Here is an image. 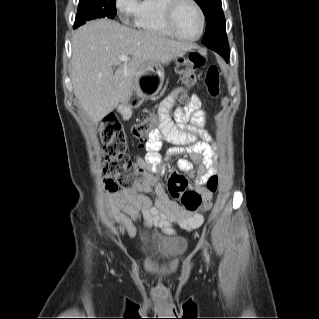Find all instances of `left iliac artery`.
Segmentation results:
<instances>
[{
  "instance_id": "44dca946",
  "label": "left iliac artery",
  "mask_w": 319,
  "mask_h": 319,
  "mask_svg": "<svg viewBox=\"0 0 319 319\" xmlns=\"http://www.w3.org/2000/svg\"><path fill=\"white\" fill-rule=\"evenodd\" d=\"M205 255H206L207 261H209V257H208V255H207L206 250H205Z\"/></svg>"
}]
</instances>
